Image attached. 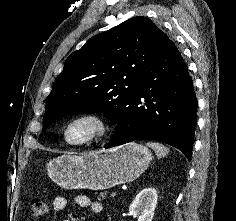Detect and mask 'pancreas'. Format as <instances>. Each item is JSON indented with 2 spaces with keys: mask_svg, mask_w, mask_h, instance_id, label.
<instances>
[{
  "mask_svg": "<svg viewBox=\"0 0 236 221\" xmlns=\"http://www.w3.org/2000/svg\"><path fill=\"white\" fill-rule=\"evenodd\" d=\"M106 195V193H100L98 200L105 199Z\"/></svg>",
  "mask_w": 236,
  "mask_h": 221,
  "instance_id": "pancreas-1",
  "label": "pancreas"
}]
</instances>
